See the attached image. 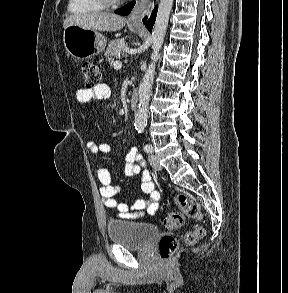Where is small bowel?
I'll use <instances>...</instances> for the list:
<instances>
[{
    "mask_svg": "<svg viewBox=\"0 0 288 293\" xmlns=\"http://www.w3.org/2000/svg\"><path fill=\"white\" fill-rule=\"evenodd\" d=\"M111 95L110 87L106 84H100L97 88L80 89L76 97L80 103L103 102ZM88 151L91 154H108L112 147L108 143H96L90 141L87 143ZM125 174L129 177L141 174V191L146 198L137 199L131 204L120 202L115 199L119 187L111 183L109 171L100 167L97 171L98 179L101 183L100 193L106 207L114 209L116 216L123 219H133L142 216L145 211L148 214H154L158 209L159 192L155 189L154 182L150 172L144 168L141 155L136 148H132L126 155Z\"/></svg>",
    "mask_w": 288,
    "mask_h": 293,
    "instance_id": "1",
    "label": "small bowel"
}]
</instances>
